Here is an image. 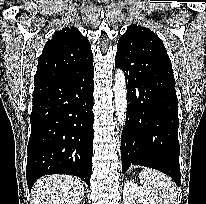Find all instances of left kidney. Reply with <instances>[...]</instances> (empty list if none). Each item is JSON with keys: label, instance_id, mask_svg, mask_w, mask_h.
Listing matches in <instances>:
<instances>
[{"label": "left kidney", "instance_id": "left-kidney-1", "mask_svg": "<svg viewBox=\"0 0 206 204\" xmlns=\"http://www.w3.org/2000/svg\"><path fill=\"white\" fill-rule=\"evenodd\" d=\"M133 198H138L139 204H156L146 191L133 181H127L123 189L124 204H135Z\"/></svg>", "mask_w": 206, "mask_h": 204}]
</instances>
